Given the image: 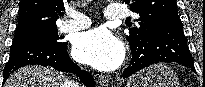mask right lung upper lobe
<instances>
[{
	"instance_id": "cb5924a9",
	"label": "right lung upper lobe",
	"mask_w": 205,
	"mask_h": 87,
	"mask_svg": "<svg viewBox=\"0 0 205 87\" xmlns=\"http://www.w3.org/2000/svg\"><path fill=\"white\" fill-rule=\"evenodd\" d=\"M70 0H21L18 32L57 28L56 20Z\"/></svg>"
}]
</instances>
